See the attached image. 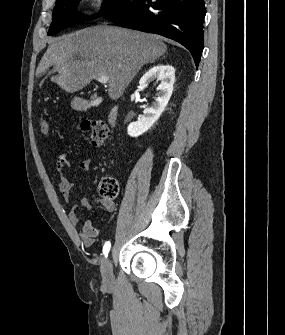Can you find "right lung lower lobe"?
I'll return each instance as SVG.
<instances>
[{
  "label": "right lung lower lobe",
  "instance_id": "right-lung-lower-lobe-1",
  "mask_svg": "<svg viewBox=\"0 0 285 335\" xmlns=\"http://www.w3.org/2000/svg\"><path fill=\"white\" fill-rule=\"evenodd\" d=\"M204 0H119L105 18L118 26L150 32L185 46L198 67L204 44Z\"/></svg>",
  "mask_w": 285,
  "mask_h": 335
}]
</instances>
